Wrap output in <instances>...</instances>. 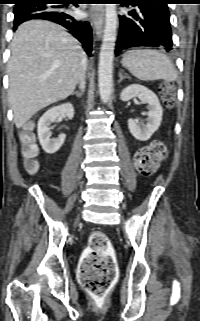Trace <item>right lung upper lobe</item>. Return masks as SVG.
Returning a JSON list of instances; mask_svg holds the SVG:
<instances>
[{"mask_svg":"<svg viewBox=\"0 0 200 321\" xmlns=\"http://www.w3.org/2000/svg\"><path fill=\"white\" fill-rule=\"evenodd\" d=\"M16 4H18L19 2H22L24 0H14Z\"/></svg>","mask_w":200,"mask_h":321,"instance_id":"1","label":"right lung upper lobe"}]
</instances>
